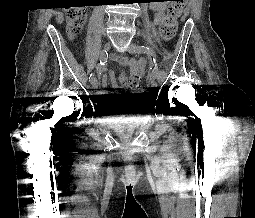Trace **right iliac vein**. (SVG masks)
Returning a JSON list of instances; mask_svg holds the SVG:
<instances>
[{"label":"right iliac vein","mask_w":255,"mask_h":218,"mask_svg":"<svg viewBox=\"0 0 255 218\" xmlns=\"http://www.w3.org/2000/svg\"><path fill=\"white\" fill-rule=\"evenodd\" d=\"M110 47H111L110 42H107L104 45L103 51L100 56V60H104L106 58L105 53L110 49ZM98 85H99V82L96 78L91 81V86L93 89H96L98 87Z\"/></svg>","instance_id":"obj_1"}]
</instances>
